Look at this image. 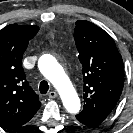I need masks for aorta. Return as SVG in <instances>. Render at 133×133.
I'll use <instances>...</instances> for the list:
<instances>
[{
  "label": "aorta",
  "instance_id": "762f6f07",
  "mask_svg": "<svg viewBox=\"0 0 133 133\" xmlns=\"http://www.w3.org/2000/svg\"><path fill=\"white\" fill-rule=\"evenodd\" d=\"M38 68L42 75L48 79L58 91L63 105L71 114L79 112L81 103L63 67L52 55H43L38 61Z\"/></svg>",
  "mask_w": 133,
  "mask_h": 133
}]
</instances>
